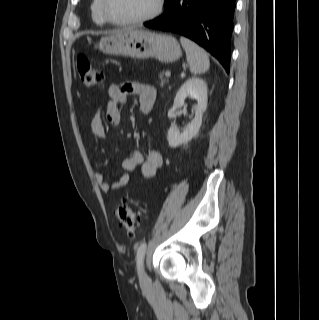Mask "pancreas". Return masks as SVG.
I'll use <instances>...</instances> for the list:
<instances>
[{
	"mask_svg": "<svg viewBox=\"0 0 319 320\" xmlns=\"http://www.w3.org/2000/svg\"><path fill=\"white\" fill-rule=\"evenodd\" d=\"M159 79H160V85L163 86L165 83L168 82V79L164 76V73L159 74Z\"/></svg>",
	"mask_w": 319,
	"mask_h": 320,
	"instance_id": "cf45deb5",
	"label": "pancreas"
}]
</instances>
